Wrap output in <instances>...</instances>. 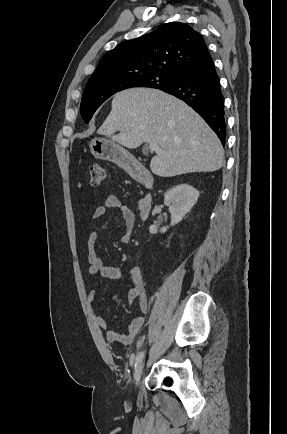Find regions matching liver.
Masks as SVG:
<instances>
[{"instance_id":"6515ba94","label":"liver","mask_w":287,"mask_h":434,"mask_svg":"<svg viewBox=\"0 0 287 434\" xmlns=\"http://www.w3.org/2000/svg\"><path fill=\"white\" fill-rule=\"evenodd\" d=\"M97 133L130 149L156 143L160 152L151 159L150 169L160 177L213 172L224 164L221 142L207 123L186 103L156 89L117 93Z\"/></svg>"}]
</instances>
